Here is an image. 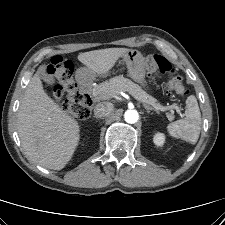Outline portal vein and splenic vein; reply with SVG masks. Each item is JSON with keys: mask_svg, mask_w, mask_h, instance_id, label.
<instances>
[{"mask_svg": "<svg viewBox=\"0 0 225 225\" xmlns=\"http://www.w3.org/2000/svg\"><path fill=\"white\" fill-rule=\"evenodd\" d=\"M129 93H130L135 99H137V100H139V101H142V102H146L144 99H142L141 97L137 96L136 94L131 93V92H129ZM156 109H158V110H160V111H162V112L166 111V108H165V107H161V106L156 107ZM178 112H179V111H178ZM179 114H181V113L179 112Z\"/></svg>", "mask_w": 225, "mask_h": 225, "instance_id": "1", "label": "portal vein and splenic vein"}]
</instances>
